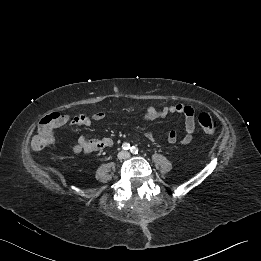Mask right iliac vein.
Instances as JSON below:
<instances>
[{
  "label": "right iliac vein",
  "mask_w": 261,
  "mask_h": 261,
  "mask_svg": "<svg viewBox=\"0 0 261 261\" xmlns=\"http://www.w3.org/2000/svg\"><path fill=\"white\" fill-rule=\"evenodd\" d=\"M124 157H125V154H124L123 152L119 154V158H120V159H122V158H124Z\"/></svg>",
  "instance_id": "1"
}]
</instances>
